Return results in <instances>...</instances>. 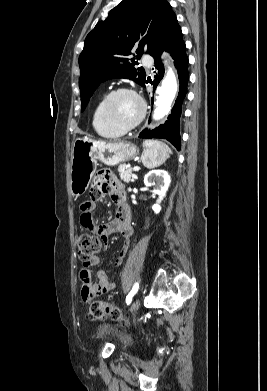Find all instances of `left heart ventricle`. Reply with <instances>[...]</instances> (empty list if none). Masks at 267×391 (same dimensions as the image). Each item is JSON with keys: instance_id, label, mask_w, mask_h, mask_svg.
<instances>
[{"instance_id": "left-heart-ventricle-1", "label": "left heart ventricle", "mask_w": 267, "mask_h": 391, "mask_svg": "<svg viewBox=\"0 0 267 391\" xmlns=\"http://www.w3.org/2000/svg\"><path fill=\"white\" fill-rule=\"evenodd\" d=\"M109 113L116 123L126 126L136 120L140 113V105L131 94L121 93L111 100Z\"/></svg>"}]
</instances>
